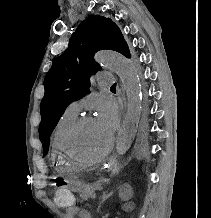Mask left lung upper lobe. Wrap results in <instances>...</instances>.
<instances>
[{"label":"left lung upper lobe","instance_id":"obj_1","mask_svg":"<svg viewBox=\"0 0 211 218\" xmlns=\"http://www.w3.org/2000/svg\"><path fill=\"white\" fill-rule=\"evenodd\" d=\"M103 49L130 57L118 26L109 18L90 15L77 27L66 51L53 60L44 80L45 95L40 105L39 137L44 155L48 152L50 135L68 104L89 93L90 77L101 69L93 56Z\"/></svg>","mask_w":211,"mask_h":218}]
</instances>
